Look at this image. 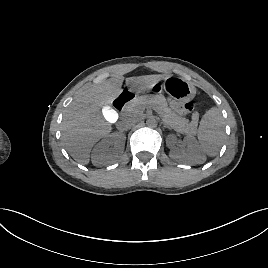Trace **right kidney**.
<instances>
[{
    "instance_id": "1",
    "label": "right kidney",
    "mask_w": 268,
    "mask_h": 268,
    "mask_svg": "<svg viewBox=\"0 0 268 268\" xmlns=\"http://www.w3.org/2000/svg\"><path fill=\"white\" fill-rule=\"evenodd\" d=\"M125 140L126 136L122 133L107 135L92 151L93 165L99 167L117 162L124 152Z\"/></svg>"
}]
</instances>
